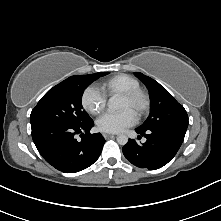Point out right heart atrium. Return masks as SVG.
I'll return each instance as SVG.
<instances>
[{
  "label": "right heart atrium",
  "instance_id": "1",
  "mask_svg": "<svg viewBox=\"0 0 221 221\" xmlns=\"http://www.w3.org/2000/svg\"><path fill=\"white\" fill-rule=\"evenodd\" d=\"M106 103V95L93 85L86 87L82 92L81 104L91 114L101 113L105 109Z\"/></svg>",
  "mask_w": 221,
  "mask_h": 221
}]
</instances>
